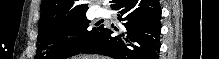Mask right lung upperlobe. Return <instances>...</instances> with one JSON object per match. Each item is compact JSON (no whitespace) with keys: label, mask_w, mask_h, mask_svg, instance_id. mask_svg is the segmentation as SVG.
I'll return each mask as SVG.
<instances>
[{"label":"right lung upper lobe","mask_w":219,"mask_h":59,"mask_svg":"<svg viewBox=\"0 0 219 59\" xmlns=\"http://www.w3.org/2000/svg\"><path fill=\"white\" fill-rule=\"evenodd\" d=\"M87 10L88 4L83 0H42L38 27L50 21L86 14Z\"/></svg>","instance_id":"1"}]
</instances>
